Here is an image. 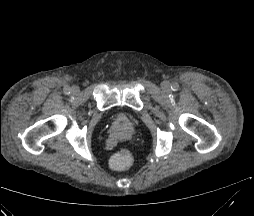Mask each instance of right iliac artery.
<instances>
[{"mask_svg":"<svg viewBox=\"0 0 254 216\" xmlns=\"http://www.w3.org/2000/svg\"><path fill=\"white\" fill-rule=\"evenodd\" d=\"M70 92H71V89L69 87L64 88V93L65 94H70Z\"/></svg>","mask_w":254,"mask_h":216,"instance_id":"1","label":"right iliac artery"}]
</instances>
